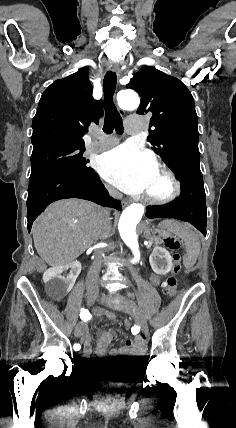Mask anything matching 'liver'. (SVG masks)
I'll use <instances>...</instances> for the list:
<instances>
[{"label":"liver","mask_w":236,"mask_h":428,"mask_svg":"<svg viewBox=\"0 0 236 428\" xmlns=\"http://www.w3.org/2000/svg\"><path fill=\"white\" fill-rule=\"evenodd\" d=\"M103 208L85 200H59L33 224L34 246L48 266H65L98 240H107L111 224Z\"/></svg>","instance_id":"obj_1"}]
</instances>
